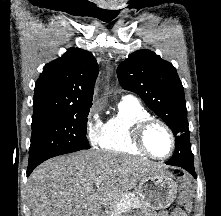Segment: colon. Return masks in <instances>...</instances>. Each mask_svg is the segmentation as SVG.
I'll use <instances>...</instances> for the list:
<instances>
[{
	"label": "colon",
	"instance_id": "5ec220e1",
	"mask_svg": "<svg viewBox=\"0 0 221 216\" xmlns=\"http://www.w3.org/2000/svg\"><path fill=\"white\" fill-rule=\"evenodd\" d=\"M180 178L183 181L181 189H180V204L182 206H188L191 202L190 184L185 174H180Z\"/></svg>",
	"mask_w": 221,
	"mask_h": 216
}]
</instances>
